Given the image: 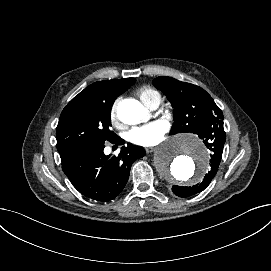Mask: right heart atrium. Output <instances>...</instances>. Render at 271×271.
<instances>
[{"label": "right heart atrium", "instance_id": "d8ad5b80", "mask_svg": "<svg viewBox=\"0 0 271 271\" xmlns=\"http://www.w3.org/2000/svg\"><path fill=\"white\" fill-rule=\"evenodd\" d=\"M118 102H119V99H116V100L113 102V104H112V106H111V109H110V118H111V120H112L113 122H115V120H116L115 108H116V105H117Z\"/></svg>", "mask_w": 271, "mask_h": 271}]
</instances>
